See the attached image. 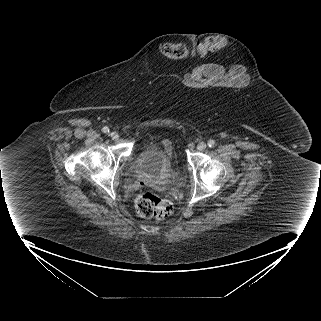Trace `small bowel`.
Masks as SVG:
<instances>
[{
  "label": "small bowel",
  "mask_w": 321,
  "mask_h": 321,
  "mask_svg": "<svg viewBox=\"0 0 321 321\" xmlns=\"http://www.w3.org/2000/svg\"><path fill=\"white\" fill-rule=\"evenodd\" d=\"M183 83L187 87L199 83L203 89H213L215 86L242 88L250 87L254 83V78L250 74H245L240 66L227 69L223 65L210 63L187 73L183 78Z\"/></svg>",
  "instance_id": "1"
}]
</instances>
